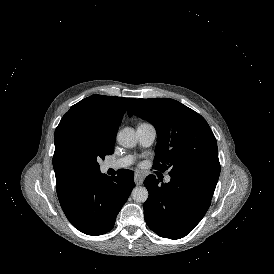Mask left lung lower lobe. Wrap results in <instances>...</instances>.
<instances>
[{"instance_id": "left-lung-lower-lobe-1", "label": "left lung lower lobe", "mask_w": 274, "mask_h": 274, "mask_svg": "<svg viewBox=\"0 0 274 274\" xmlns=\"http://www.w3.org/2000/svg\"><path fill=\"white\" fill-rule=\"evenodd\" d=\"M161 184L149 175L144 185L149 197L144 216L151 230L161 237L179 239L186 236L208 210L217 184L216 179L195 175H170Z\"/></svg>"}]
</instances>
